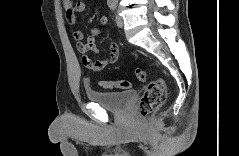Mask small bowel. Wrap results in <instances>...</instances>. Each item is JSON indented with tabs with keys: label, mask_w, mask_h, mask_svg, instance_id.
Returning a JSON list of instances; mask_svg holds the SVG:
<instances>
[{
	"label": "small bowel",
	"mask_w": 239,
	"mask_h": 156,
	"mask_svg": "<svg viewBox=\"0 0 239 156\" xmlns=\"http://www.w3.org/2000/svg\"><path fill=\"white\" fill-rule=\"evenodd\" d=\"M63 7L66 13V20L70 25L76 23V14L82 12L85 9V3L80 1L73 3L70 0L63 1ZM101 23L106 25L108 23L107 18H102ZM100 34L98 28H92L90 35L87 37L86 41H83L84 34L81 30L76 29L73 31V38L77 42V49L82 54L87 52L97 53L98 49L96 47L95 41L97 36ZM119 57V48L116 43L109 44V54L104 59H93L87 55H84L82 58L83 64L85 67L91 71L98 72L102 69L113 65Z\"/></svg>",
	"instance_id": "c3829d8e"
}]
</instances>
